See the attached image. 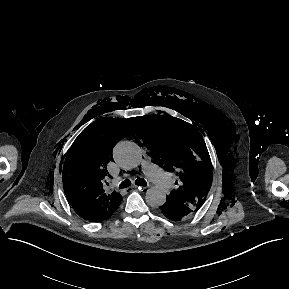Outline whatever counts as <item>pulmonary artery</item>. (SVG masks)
<instances>
[{
    "label": "pulmonary artery",
    "mask_w": 289,
    "mask_h": 289,
    "mask_svg": "<svg viewBox=\"0 0 289 289\" xmlns=\"http://www.w3.org/2000/svg\"><path fill=\"white\" fill-rule=\"evenodd\" d=\"M141 167L143 172L153 180L160 189L166 191L172 187V181L169 176L154 164L149 157L143 159Z\"/></svg>",
    "instance_id": "pulmonary-artery-1"
}]
</instances>
